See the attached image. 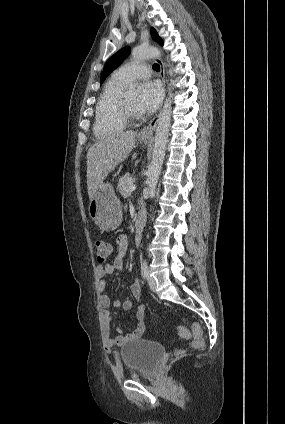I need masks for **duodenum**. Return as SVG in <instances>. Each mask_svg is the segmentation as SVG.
Listing matches in <instances>:
<instances>
[{
    "label": "duodenum",
    "mask_w": 285,
    "mask_h": 424,
    "mask_svg": "<svg viewBox=\"0 0 285 424\" xmlns=\"http://www.w3.org/2000/svg\"><path fill=\"white\" fill-rule=\"evenodd\" d=\"M144 223H145V216L144 214H139L136 223H135V233L137 236H141L142 231H143V227H144Z\"/></svg>",
    "instance_id": "410a0bca"
}]
</instances>
